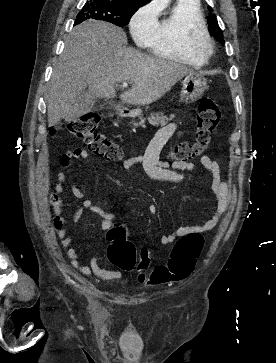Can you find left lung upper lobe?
I'll use <instances>...</instances> for the list:
<instances>
[{"mask_svg":"<svg viewBox=\"0 0 276 363\" xmlns=\"http://www.w3.org/2000/svg\"><path fill=\"white\" fill-rule=\"evenodd\" d=\"M208 9L212 11V8L210 6H208ZM208 29L210 34L214 36L217 41H219L221 44H224L222 30L218 25L216 17L213 15H210V17L208 18Z\"/></svg>","mask_w":276,"mask_h":363,"instance_id":"left-lung-upper-lobe-1","label":"left lung upper lobe"}]
</instances>
